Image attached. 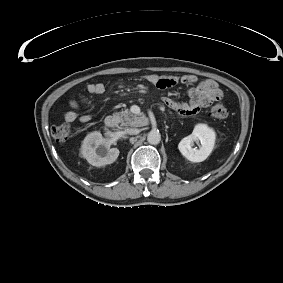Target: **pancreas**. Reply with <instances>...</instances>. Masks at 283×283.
<instances>
[{
	"mask_svg": "<svg viewBox=\"0 0 283 283\" xmlns=\"http://www.w3.org/2000/svg\"><path fill=\"white\" fill-rule=\"evenodd\" d=\"M114 116L118 118L121 126H140V117L134 115L129 109H124L123 111L116 113Z\"/></svg>",
	"mask_w": 283,
	"mask_h": 283,
	"instance_id": "1",
	"label": "pancreas"
}]
</instances>
